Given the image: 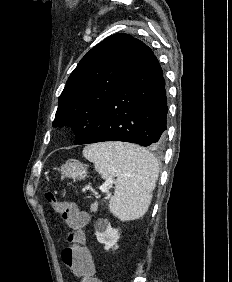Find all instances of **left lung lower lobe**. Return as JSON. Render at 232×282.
Here are the masks:
<instances>
[{
	"label": "left lung lower lobe",
	"mask_w": 232,
	"mask_h": 282,
	"mask_svg": "<svg viewBox=\"0 0 232 282\" xmlns=\"http://www.w3.org/2000/svg\"><path fill=\"white\" fill-rule=\"evenodd\" d=\"M167 96L163 70L146 46L135 68L75 144L123 141L159 148L165 141Z\"/></svg>",
	"instance_id": "0a47b994"
}]
</instances>
